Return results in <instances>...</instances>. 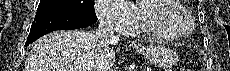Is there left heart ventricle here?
I'll use <instances>...</instances> for the list:
<instances>
[{
    "mask_svg": "<svg viewBox=\"0 0 230 71\" xmlns=\"http://www.w3.org/2000/svg\"><path fill=\"white\" fill-rule=\"evenodd\" d=\"M166 1L168 0H161L159 2L165 3ZM153 15L167 29L177 32H182L186 29L185 20L178 14L155 11Z\"/></svg>",
    "mask_w": 230,
    "mask_h": 71,
    "instance_id": "1",
    "label": "left heart ventricle"
}]
</instances>
